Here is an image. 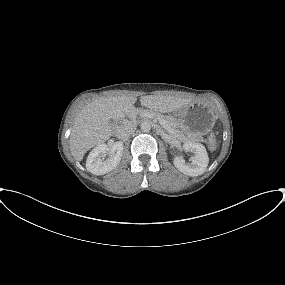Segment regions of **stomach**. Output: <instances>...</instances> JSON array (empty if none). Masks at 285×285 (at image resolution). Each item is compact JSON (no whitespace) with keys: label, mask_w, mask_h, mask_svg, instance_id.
<instances>
[{"label":"stomach","mask_w":285,"mask_h":285,"mask_svg":"<svg viewBox=\"0 0 285 285\" xmlns=\"http://www.w3.org/2000/svg\"><path fill=\"white\" fill-rule=\"evenodd\" d=\"M181 127L192 137L208 134L215 123V113L210 105L193 101L176 110Z\"/></svg>","instance_id":"stomach-1"}]
</instances>
